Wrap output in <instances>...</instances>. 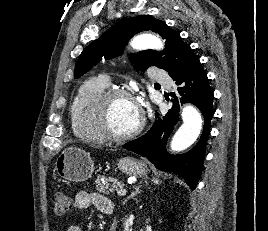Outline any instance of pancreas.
<instances>
[{"instance_id": "pancreas-1", "label": "pancreas", "mask_w": 268, "mask_h": 231, "mask_svg": "<svg viewBox=\"0 0 268 231\" xmlns=\"http://www.w3.org/2000/svg\"><path fill=\"white\" fill-rule=\"evenodd\" d=\"M96 190L100 193L109 195L110 193L114 194V191L118 188H122L124 184L118 182L115 178H106V177H99L95 180Z\"/></svg>"}]
</instances>
